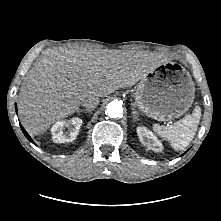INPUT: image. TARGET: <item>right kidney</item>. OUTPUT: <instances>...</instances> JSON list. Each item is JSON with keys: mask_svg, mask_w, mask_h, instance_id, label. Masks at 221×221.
<instances>
[{"mask_svg": "<svg viewBox=\"0 0 221 221\" xmlns=\"http://www.w3.org/2000/svg\"><path fill=\"white\" fill-rule=\"evenodd\" d=\"M81 125L82 119L78 117L56 122L51 128L53 141L56 143L72 142L77 137ZM65 129L67 132H64Z\"/></svg>", "mask_w": 221, "mask_h": 221, "instance_id": "ca27d5eb", "label": "right kidney"}]
</instances>
